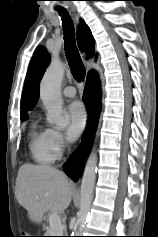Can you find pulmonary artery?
<instances>
[{"label": "pulmonary artery", "instance_id": "obj_1", "mask_svg": "<svg viewBox=\"0 0 158 237\" xmlns=\"http://www.w3.org/2000/svg\"><path fill=\"white\" fill-rule=\"evenodd\" d=\"M63 95L68 98H73L76 95V90L72 86H67L63 89Z\"/></svg>", "mask_w": 158, "mask_h": 237}]
</instances>
